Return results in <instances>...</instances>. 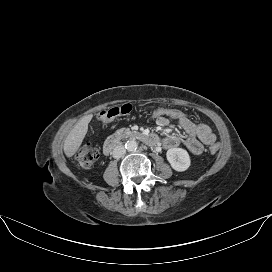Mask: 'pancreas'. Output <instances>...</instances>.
Wrapping results in <instances>:
<instances>
[{
  "label": "pancreas",
  "mask_w": 272,
  "mask_h": 272,
  "mask_svg": "<svg viewBox=\"0 0 272 272\" xmlns=\"http://www.w3.org/2000/svg\"><path fill=\"white\" fill-rule=\"evenodd\" d=\"M125 133L130 134L132 132H131V130L129 128H127V129H125Z\"/></svg>",
  "instance_id": "cf45deb5"
}]
</instances>
